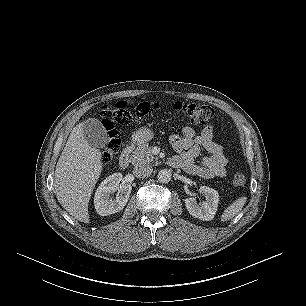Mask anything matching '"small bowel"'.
Returning a JSON list of instances; mask_svg holds the SVG:
<instances>
[{
	"mask_svg": "<svg viewBox=\"0 0 306 306\" xmlns=\"http://www.w3.org/2000/svg\"><path fill=\"white\" fill-rule=\"evenodd\" d=\"M213 138L212 126H206L198 135L191 126L183 127L182 136L171 134L169 141L179 155L172 157L170 164L202 179L225 177L228 157L224 153V147ZM202 148L207 150L209 155L197 164L195 161L199 158Z\"/></svg>",
	"mask_w": 306,
	"mask_h": 306,
	"instance_id": "small-bowel-1",
	"label": "small bowel"
}]
</instances>
